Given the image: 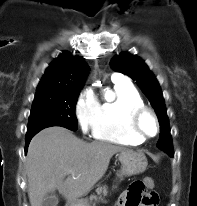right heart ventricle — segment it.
<instances>
[{
  "mask_svg": "<svg viewBox=\"0 0 197 206\" xmlns=\"http://www.w3.org/2000/svg\"><path fill=\"white\" fill-rule=\"evenodd\" d=\"M115 98L99 104V112L92 128L93 137L120 145L136 146L144 140L131 132L128 114L145 106L135 87L124 81H113Z\"/></svg>",
  "mask_w": 197,
  "mask_h": 206,
  "instance_id": "obj_1",
  "label": "right heart ventricle"
}]
</instances>
